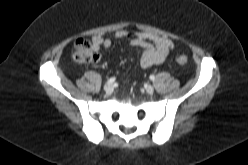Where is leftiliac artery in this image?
Instances as JSON below:
<instances>
[{"mask_svg":"<svg viewBox=\"0 0 248 165\" xmlns=\"http://www.w3.org/2000/svg\"><path fill=\"white\" fill-rule=\"evenodd\" d=\"M150 80L154 81L155 80V76L154 75H150Z\"/></svg>","mask_w":248,"mask_h":165,"instance_id":"44dca946","label":"left iliac artery"}]
</instances>
